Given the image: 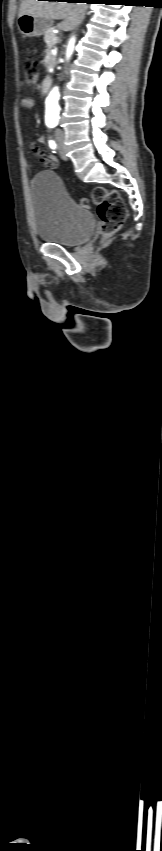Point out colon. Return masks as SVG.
Returning a JSON list of instances; mask_svg holds the SVG:
<instances>
[{"label":"colon","instance_id":"1","mask_svg":"<svg viewBox=\"0 0 162 851\" xmlns=\"http://www.w3.org/2000/svg\"><path fill=\"white\" fill-rule=\"evenodd\" d=\"M24 79L29 89L34 88L37 78V66L27 59L24 64ZM85 208L96 206L97 214L102 222L101 231L105 237L117 232L124 224L127 217L126 206L120 194L113 189L102 186L93 188L91 198H83L80 201Z\"/></svg>","mask_w":162,"mask_h":851}]
</instances>
